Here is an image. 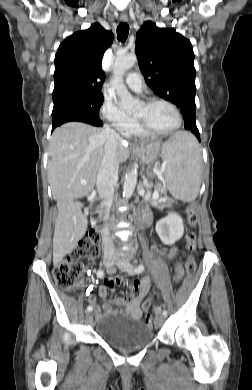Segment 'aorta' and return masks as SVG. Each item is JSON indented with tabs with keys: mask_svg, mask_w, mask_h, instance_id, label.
<instances>
[{
	"mask_svg": "<svg viewBox=\"0 0 252 390\" xmlns=\"http://www.w3.org/2000/svg\"><path fill=\"white\" fill-rule=\"evenodd\" d=\"M136 56L133 54L118 55L113 65V79L111 87L116 91L119 98V106L126 112H131L138 107L139 101L136 100L128 91L124 84L123 75L136 62ZM137 184V171L131 170L125 177L123 185V198H131Z\"/></svg>",
	"mask_w": 252,
	"mask_h": 390,
	"instance_id": "aorta-1",
	"label": "aorta"
}]
</instances>
